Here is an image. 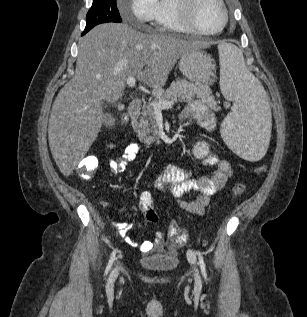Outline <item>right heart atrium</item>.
I'll return each mask as SVG.
<instances>
[{
    "mask_svg": "<svg viewBox=\"0 0 307 317\" xmlns=\"http://www.w3.org/2000/svg\"><path fill=\"white\" fill-rule=\"evenodd\" d=\"M158 13V0H130L128 5L122 9L125 19H134L138 23H151L156 20Z\"/></svg>",
    "mask_w": 307,
    "mask_h": 317,
    "instance_id": "d8ad5b80",
    "label": "right heart atrium"
}]
</instances>
